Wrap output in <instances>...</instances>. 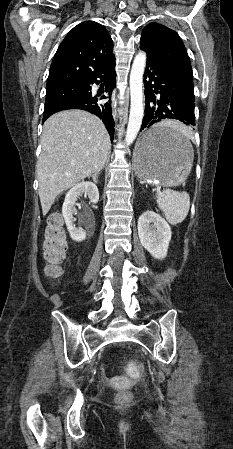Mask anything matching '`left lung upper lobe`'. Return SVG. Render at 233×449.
I'll list each match as a JSON object with an SVG mask.
<instances>
[{
	"instance_id": "5c2ea615",
	"label": "left lung upper lobe",
	"mask_w": 233,
	"mask_h": 449,
	"mask_svg": "<svg viewBox=\"0 0 233 449\" xmlns=\"http://www.w3.org/2000/svg\"><path fill=\"white\" fill-rule=\"evenodd\" d=\"M140 48L146 51L148 60L193 84L189 56L174 30L156 22L148 24L142 31Z\"/></svg>"
}]
</instances>
